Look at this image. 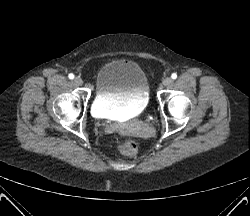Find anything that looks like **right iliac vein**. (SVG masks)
I'll list each match as a JSON object with an SVG mask.
<instances>
[{"instance_id": "right-iliac-vein-1", "label": "right iliac vein", "mask_w": 250, "mask_h": 216, "mask_svg": "<svg viewBox=\"0 0 250 216\" xmlns=\"http://www.w3.org/2000/svg\"><path fill=\"white\" fill-rule=\"evenodd\" d=\"M74 83H75L76 85H82V84H83V80H82L81 77H75V78H74Z\"/></svg>"}]
</instances>
